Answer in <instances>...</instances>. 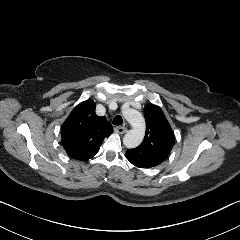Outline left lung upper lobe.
<instances>
[{
	"label": "left lung upper lobe",
	"instance_id": "obj_1",
	"mask_svg": "<svg viewBox=\"0 0 240 240\" xmlns=\"http://www.w3.org/2000/svg\"><path fill=\"white\" fill-rule=\"evenodd\" d=\"M146 132L142 143L126 151V157L136 167H154L165 160L174 146V135L163 111L155 105L144 108Z\"/></svg>",
	"mask_w": 240,
	"mask_h": 240
}]
</instances>
